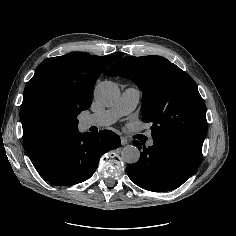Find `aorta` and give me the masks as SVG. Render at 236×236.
<instances>
[{"mask_svg":"<svg viewBox=\"0 0 236 236\" xmlns=\"http://www.w3.org/2000/svg\"><path fill=\"white\" fill-rule=\"evenodd\" d=\"M94 97L104 106H112L118 101L120 90L114 82L103 81L96 86ZM121 158L128 164H134L140 158V151L134 145H126L121 151Z\"/></svg>","mask_w":236,"mask_h":236,"instance_id":"762f6f07","label":"aorta"}]
</instances>
